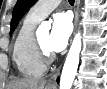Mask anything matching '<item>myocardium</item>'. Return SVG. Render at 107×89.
<instances>
[{"mask_svg":"<svg viewBox=\"0 0 107 89\" xmlns=\"http://www.w3.org/2000/svg\"><path fill=\"white\" fill-rule=\"evenodd\" d=\"M34 46L38 59L45 65H49L53 61V55L49 49H46L40 42L38 35H35Z\"/></svg>","mask_w":107,"mask_h":89,"instance_id":"1","label":"myocardium"}]
</instances>
